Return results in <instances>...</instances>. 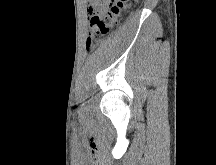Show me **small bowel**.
Wrapping results in <instances>:
<instances>
[{"mask_svg": "<svg viewBox=\"0 0 216 165\" xmlns=\"http://www.w3.org/2000/svg\"><path fill=\"white\" fill-rule=\"evenodd\" d=\"M92 5H89V10H94V7L102 10L108 3V0H89Z\"/></svg>", "mask_w": 216, "mask_h": 165, "instance_id": "obj_1", "label": "small bowel"}]
</instances>
